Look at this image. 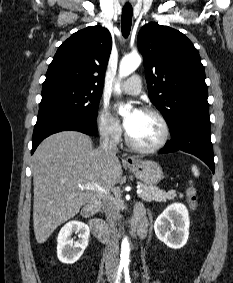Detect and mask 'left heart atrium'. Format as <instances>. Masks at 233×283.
<instances>
[{
    "label": "left heart atrium",
    "mask_w": 233,
    "mask_h": 283,
    "mask_svg": "<svg viewBox=\"0 0 233 283\" xmlns=\"http://www.w3.org/2000/svg\"><path fill=\"white\" fill-rule=\"evenodd\" d=\"M141 111L137 108H135L131 112V116L125 119V128L128 131L133 123L134 118L140 113Z\"/></svg>",
    "instance_id": "left-heart-atrium-1"
}]
</instances>
